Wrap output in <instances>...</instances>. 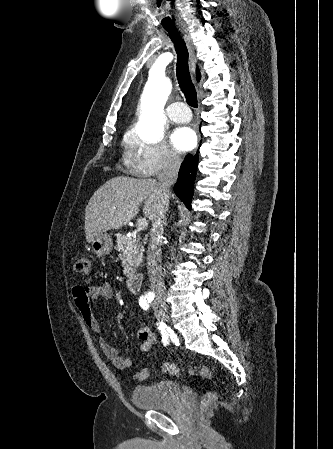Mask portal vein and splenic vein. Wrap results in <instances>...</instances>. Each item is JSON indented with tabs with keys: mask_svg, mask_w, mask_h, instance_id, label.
<instances>
[{
	"mask_svg": "<svg viewBox=\"0 0 333 449\" xmlns=\"http://www.w3.org/2000/svg\"><path fill=\"white\" fill-rule=\"evenodd\" d=\"M136 226L138 230H143L148 226V221L146 220V218L139 219L136 223Z\"/></svg>",
	"mask_w": 333,
	"mask_h": 449,
	"instance_id": "obj_1",
	"label": "portal vein and splenic vein"
}]
</instances>
